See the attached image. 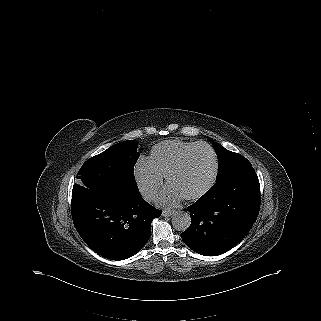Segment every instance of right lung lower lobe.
Instances as JSON below:
<instances>
[{
	"mask_svg": "<svg viewBox=\"0 0 321 321\" xmlns=\"http://www.w3.org/2000/svg\"><path fill=\"white\" fill-rule=\"evenodd\" d=\"M74 226L84 242L99 255L123 260L139 252L151 234V221L161 211L139 193L122 198L88 194L72 199Z\"/></svg>",
	"mask_w": 321,
	"mask_h": 321,
	"instance_id": "obj_1",
	"label": "right lung lower lobe"
}]
</instances>
